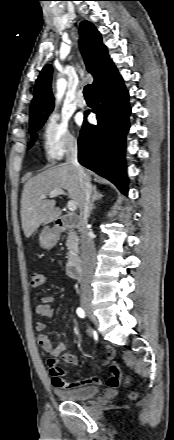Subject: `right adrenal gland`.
Masks as SVG:
<instances>
[{
  "instance_id": "1",
  "label": "right adrenal gland",
  "mask_w": 174,
  "mask_h": 440,
  "mask_svg": "<svg viewBox=\"0 0 174 440\" xmlns=\"http://www.w3.org/2000/svg\"><path fill=\"white\" fill-rule=\"evenodd\" d=\"M104 197V195L97 190L96 185L93 187V195H92V202H91V207H90V211H92L95 208V201L97 200H101Z\"/></svg>"
}]
</instances>
